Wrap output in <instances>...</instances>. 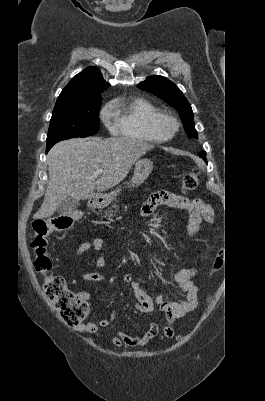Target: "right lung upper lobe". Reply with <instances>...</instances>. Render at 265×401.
Returning a JSON list of instances; mask_svg holds the SVG:
<instances>
[{"label":"right lung upper lobe","instance_id":"cb5924a9","mask_svg":"<svg viewBox=\"0 0 265 401\" xmlns=\"http://www.w3.org/2000/svg\"><path fill=\"white\" fill-rule=\"evenodd\" d=\"M110 86L96 67H88L73 77L60 93L55 106L72 101L101 97V92Z\"/></svg>","mask_w":265,"mask_h":401}]
</instances>
